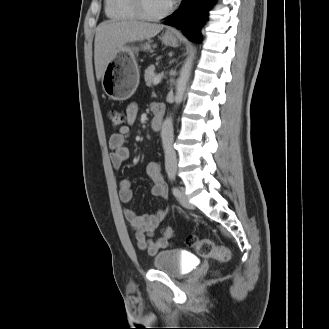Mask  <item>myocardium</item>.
<instances>
[{"instance_id": "1", "label": "myocardium", "mask_w": 329, "mask_h": 329, "mask_svg": "<svg viewBox=\"0 0 329 329\" xmlns=\"http://www.w3.org/2000/svg\"><path fill=\"white\" fill-rule=\"evenodd\" d=\"M131 2H132V5H133L135 11L137 12L139 18H141L142 20H145V21L161 20V19L165 18L166 16H168L173 10V5L170 4V6L168 8H166L164 11H162L161 13L152 14L146 10L143 0H131Z\"/></svg>"}]
</instances>
